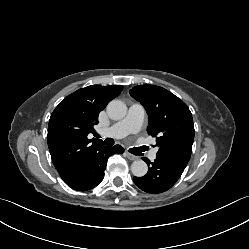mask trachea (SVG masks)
<instances>
[{
    "label": "trachea",
    "mask_w": 249,
    "mask_h": 249,
    "mask_svg": "<svg viewBox=\"0 0 249 249\" xmlns=\"http://www.w3.org/2000/svg\"><path fill=\"white\" fill-rule=\"evenodd\" d=\"M98 137H100V136H98ZM105 145H107V146H113V144H114V140L112 139V138H106L105 140H104V142H103ZM132 154H134V150L133 149H130L129 150Z\"/></svg>",
    "instance_id": "trachea-1"
}]
</instances>
